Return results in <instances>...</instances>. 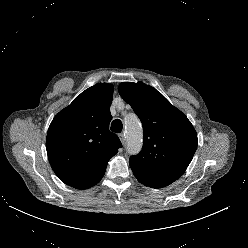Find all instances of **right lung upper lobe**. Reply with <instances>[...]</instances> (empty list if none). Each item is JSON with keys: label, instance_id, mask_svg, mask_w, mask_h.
I'll return each mask as SVG.
<instances>
[{"label": "right lung upper lobe", "instance_id": "1", "mask_svg": "<svg viewBox=\"0 0 248 248\" xmlns=\"http://www.w3.org/2000/svg\"><path fill=\"white\" fill-rule=\"evenodd\" d=\"M112 99L111 84H96L52 120L46 150L52 169L65 184L76 189L94 186L122 147L118 136L109 131Z\"/></svg>", "mask_w": 248, "mask_h": 248}]
</instances>
